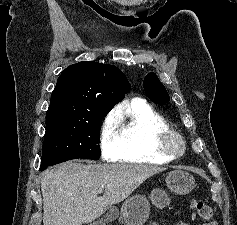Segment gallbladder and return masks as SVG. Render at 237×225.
Returning <instances> with one entry per match:
<instances>
[{
    "label": "gallbladder",
    "mask_w": 237,
    "mask_h": 225,
    "mask_svg": "<svg viewBox=\"0 0 237 225\" xmlns=\"http://www.w3.org/2000/svg\"><path fill=\"white\" fill-rule=\"evenodd\" d=\"M109 218L106 217L104 220H99L97 222H94L92 224H89V225H105V222H108Z\"/></svg>",
    "instance_id": "bac80fb5"
}]
</instances>
